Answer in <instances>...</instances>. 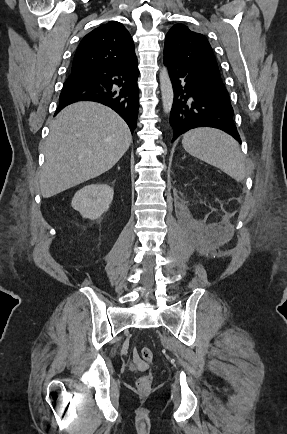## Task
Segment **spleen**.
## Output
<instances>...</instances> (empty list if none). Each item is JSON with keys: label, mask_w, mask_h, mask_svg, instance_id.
<instances>
[{"label": "spleen", "mask_w": 287, "mask_h": 434, "mask_svg": "<svg viewBox=\"0 0 287 434\" xmlns=\"http://www.w3.org/2000/svg\"><path fill=\"white\" fill-rule=\"evenodd\" d=\"M182 145L189 154L221 169L236 181L244 180V157L238 142L227 133L213 128L193 129L184 134Z\"/></svg>", "instance_id": "obj_1"}]
</instances>
